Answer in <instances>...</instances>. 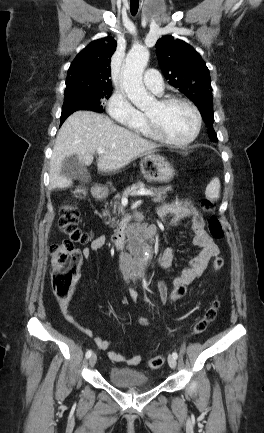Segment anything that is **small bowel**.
Returning a JSON list of instances; mask_svg holds the SVG:
<instances>
[{"instance_id":"c3829d8e","label":"small bowel","mask_w":264,"mask_h":433,"mask_svg":"<svg viewBox=\"0 0 264 433\" xmlns=\"http://www.w3.org/2000/svg\"><path fill=\"white\" fill-rule=\"evenodd\" d=\"M158 213L161 217L168 220L172 225H176L182 220L189 218L191 220V229L195 236L193 243L200 248L196 257L190 260L189 267L182 270L181 274L174 280V285H189L195 279L199 278L207 267L208 262L212 257L218 254L219 249L211 236L205 230V223L203 217L197 211L195 206L187 200H176L163 204ZM106 240L103 236L94 239L88 246L82 250V255L85 259H89L94 252L100 251L104 248ZM174 261V250L168 248L162 253L160 263L163 268H170ZM157 290L162 303H165L168 297L167 286L163 281L157 282ZM134 295V290H131ZM72 298L69 295L66 298L60 299V309L64 318L74 325L80 332L86 336L94 337L96 346L99 349L106 350L110 347V342L106 341L102 336L97 335L93 330L83 328L80 326L73 315L71 308ZM138 323L141 325H148L149 318L140 317ZM111 360L126 365H137L140 362V356H125L113 351L108 353Z\"/></svg>"}]
</instances>
